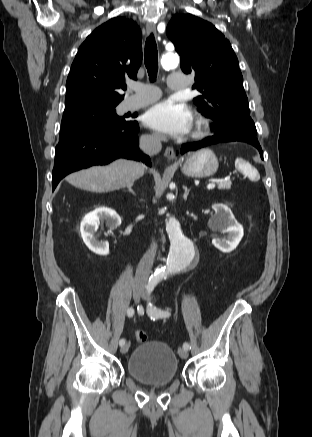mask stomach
<instances>
[{
	"instance_id": "0dacf381",
	"label": "stomach",
	"mask_w": 312,
	"mask_h": 437,
	"mask_svg": "<svg viewBox=\"0 0 312 437\" xmlns=\"http://www.w3.org/2000/svg\"><path fill=\"white\" fill-rule=\"evenodd\" d=\"M218 160L209 148H203L186 156L181 165L184 175L194 178L209 177L216 173Z\"/></svg>"
}]
</instances>
